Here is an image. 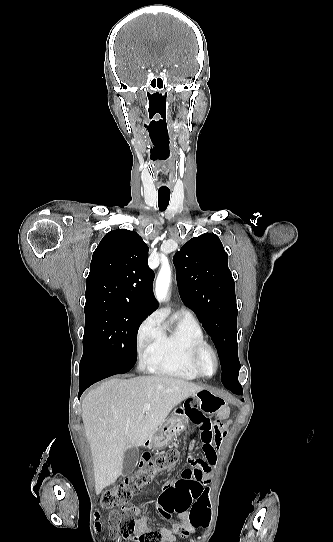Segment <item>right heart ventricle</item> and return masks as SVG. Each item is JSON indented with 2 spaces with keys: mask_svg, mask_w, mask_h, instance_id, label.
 <instances>
[{
  "mask_svg": "<svg viewBox=\"0 0 333 542\" xmlns=\"http://www.w3.org/2000/svg\"><path fill=\"white\" fill-rule=\"evenodd\" d=\"M176 317V323L169 329L161 319L158 321L161 336L155 343L140 349V364L149 372L193 380L198 376L189 364L190 350L204 341V334L195 318L180 312Z\"/></svg>",
  "mask_w": 333,
  "mask_h": 542,
  "instance_id": "e07e8e85",
  "label": "right heart ventricle"
}]
</instances>
